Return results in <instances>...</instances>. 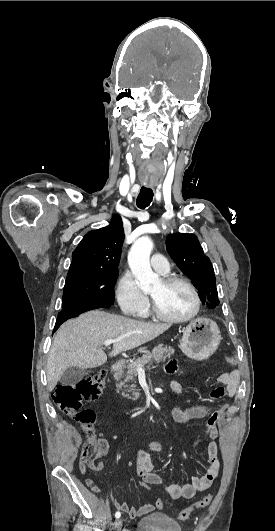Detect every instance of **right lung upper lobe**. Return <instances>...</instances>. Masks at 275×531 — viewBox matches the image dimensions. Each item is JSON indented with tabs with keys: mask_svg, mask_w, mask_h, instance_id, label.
I'll list each match as a JSON object with an SVG mask.
<instances>
[{
	"mask_svg": "<svg viewBox=\"0 0 275 531\" xmlns=\"http://www.w3.org/2000/svg\"><path fill=\"white\" fill-rule=\"evenodd\" d=\"M124 242L122 220L114 215L107 227L88 232L73 251L68 274L82 271H118Z\"/></svg>",
	"mask_w": 275,
	"mask_h": 531,
	"instance_id": "right-lung-upper-lobe-1",
	"label": "right lung upper lobe"
}]
</instances>
